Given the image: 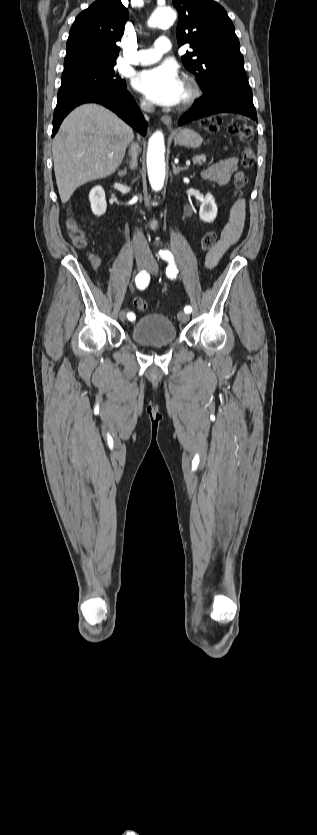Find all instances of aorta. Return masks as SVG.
Listing matches in <instances>:
<instances>
[{"label":"aorta","instance_id":"762f6f07","mask_svg":"<svg viewBox=\"0 0 317 835\" xmlns=\"http://www.w3.org/2000/svg\"><path fill=\"white\" fill-rule=\"evenodd\" d=\"M176 12L169 6L160 7L152 13L148 25L158 27L171 25L176 20ZM165 144L161 131L152 134L147 149V170L150 185L153 190L162 189L165 180Z\"/></svg>","mask_w":317,"mask_h":835}]
</instances>
